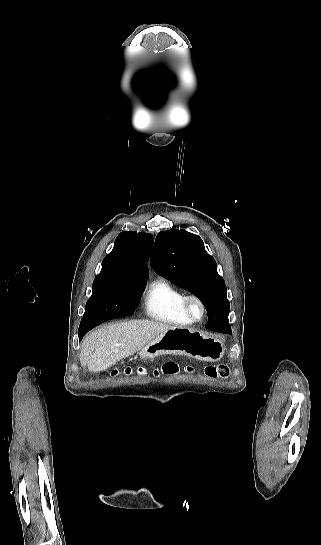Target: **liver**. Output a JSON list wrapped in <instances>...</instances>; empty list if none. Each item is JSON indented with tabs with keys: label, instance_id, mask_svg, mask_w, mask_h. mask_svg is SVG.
Returning a JSON list of instances; mask_svg holds the SVG:
<instances>
[{
	"label": "liver",
	"instance_id": "liver-1",
	"mask_svg": "<svg viewBox=\"0 0 321 545\" xmlns=\"http://www.w3.org/2000/svg\"><path fill=\"white\" fill-rule=\"evenodd\" d=\"M171 329L176 327L157 321H125L101 327L82 341L80 363L92 373L106 371L121 359L141 351L161 333Z\"/></svg>",
	"mask_w": 321,
	"mask_h": 545
}]
</instances>
